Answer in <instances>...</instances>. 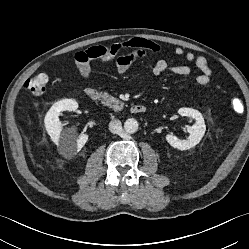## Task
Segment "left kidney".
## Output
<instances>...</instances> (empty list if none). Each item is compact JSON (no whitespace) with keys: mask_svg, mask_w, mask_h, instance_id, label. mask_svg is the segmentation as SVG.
Listing matches in <instances>:
<instances>
[{"mask_svg":"<svg viewBox=\"0 0 249 249\" xmlns=\"http://www.w3.org/2000/svg\"><path fill=\"white\" fill-rule=\"evenodd\" d=\"M179 115L195 119L196 123L187 127L189 136L186 140H180L174 135H166V141L178 150H188L196 146L202 139L206 131V125L202 114L195 109L180 108Z\"/></svg>","mask_w":249,"mask_h":249,"instance_id":"left-kidney-1","label":"left kidney"}]
</instances>
